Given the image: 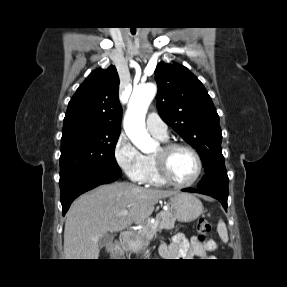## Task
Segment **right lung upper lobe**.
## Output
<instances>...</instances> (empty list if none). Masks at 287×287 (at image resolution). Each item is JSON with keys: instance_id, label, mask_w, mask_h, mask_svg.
Segmentation results:
<instances>
[{"instance_id": "1", "label": "right lung upper lobe", "mask_w": 287, "mask_h": 287, "mask_svg": "<svg viewBox=\"0 0 287 287\" xmlns=\"http://www.w3.org/2000/svg\"><path fill=\"white\" fill-rule=\"evenodd\" d=\"M118 89L119 76L114 66L91 72L68 104L63 130L89 125L97 130L121 131Z\"/></svg>"}]
</instances>
